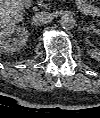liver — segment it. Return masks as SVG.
<instances>
[{
    "mask_svg": "<svg viewBox=\"0 0 100 118\" xmlns=\"http://www.w3.org/2000/svg\"><path fill=\"white\" fill-rule=\"evenodd\" d=\"M23 15V6L19 0H0V20L2 24L20 21Z\"/></svg>",
    "mask_w": 100,
    "mask_h": 118,
    "instance_id": "liver-1",
    "label": "liver"
}]
</instances>
